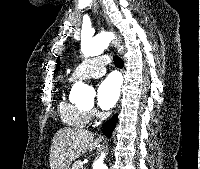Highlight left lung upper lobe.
Wrapping results in <instances>:
<instances>
[{"label":"left lung upper lobe","mask_w":200,"mask_h":169,"mask_svg":"<svg viewBox=\"0 0 200 169\" xmlns=\"http://www.w3.org/2000/svg\"><path fill=\"white\" fill-rule=\"evenodd\" d=\"M59 65H60V61H59V57H58V58H57V64H56L55 72L58 71V69H59Z\"/></svg>","instance_id":"1"}]
</instances>
